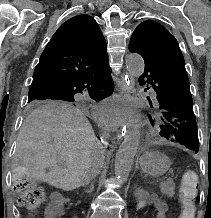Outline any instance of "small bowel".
I'll use <instances>...</instances> for the list:
<instances>
[{"instance_id": "c3829d8e", "label": "small bowel", "mask_w": 211, "mask_h": 218, "mask_svg": "<svg viewBox=\"0 0 211 218\" xmlns=\"http://www.w3.org/2000/svg\"><path fill=\"white\" fill-rule=\"evenodd\" d=\"M154 218H166V205L162 202H155L153 204ZM58 209L51 205L45 211L46 218H56Z\"/></svg>"}]
</instances>
